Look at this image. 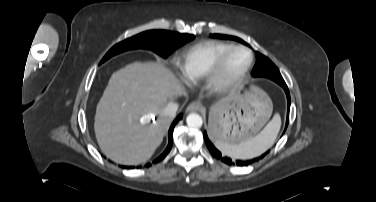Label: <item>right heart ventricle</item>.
Wrapping results in <instances>:
<instances>
[{
  "label": "right heart ventricle",
  "mask_w": 376,
  "mask_h": 202,
  "mask_svg": "<svg viewBox=\"0 0 376 202\" xmlns=\"http://www.w3.org/2000/svg\"><path fill=\"white\" fill-rule=\"evenodd\" d=\"M232 46L230 43L209 40L189 47L178 61L183 79L189 83L204 79L219 57Z\"/></svg>",
  "instance_id": "right-heart-ventricle-1"
}]
</instances>
